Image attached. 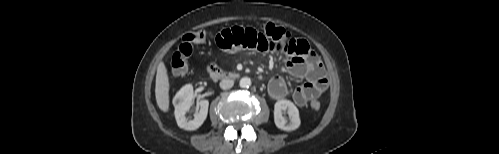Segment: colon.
<instances>
[{
	"label": "colon",
	"instance_id": "5ec220e1",
	"mask_svg": "<svg viewBox=\"0 0 499 154\" xmlns=\"http://www.w3.org/2000/svg\"><path fill=\"white\" fill-rule=\"evenodd\" d=\"M260 29L267 37L275 42L283 43L290 37V33L288 31L273 23H263L261 24ZM204 36L203 32H194L189 33L182 38L178 49L172 55L171 70L173 74L183 75L187 72L190 59L193 54V45L202 41ZM210 70H220V68L212 65ZM311 108L314 112H318L321 108L320 102L317 100L312 101Z\"/></svg>",
	"mask_w": 499,
	"mask_h": 154
}]
</instances>
